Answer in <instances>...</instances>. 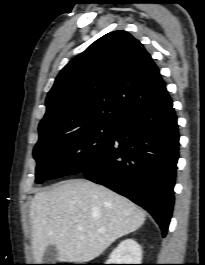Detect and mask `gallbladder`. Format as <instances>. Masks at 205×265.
<instances>
[{
  "label": "gallbladder",
  "instance_id": "1",
  "mask_svg": "<svg viewBox=\"0 0 205 265\" xmlns=\"http://www.w3.org/2000/svg\"><path fill=\"white\" fill-rule=\"evenodd\" d=\"M58 251L54 245H49L45 249L44 255H43V264H54V262L57 260Z\"/></svg>",
  "mask_w": 205,
  "mask_h": 265
}]
</instances>
